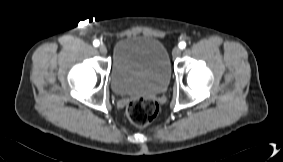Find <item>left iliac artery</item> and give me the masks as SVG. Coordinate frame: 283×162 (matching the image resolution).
<instances>
[{
    "label": "left iliac artery",
    "instance_id": "left-iliac-artery-1",
    "mask_svg": "<svg viewBox=\"0 0 283 162\" xmlns=\"http://www.w3.org/2000/svg\"><path fill=\"white\" fill-rule=\"evenodd\" d=\"M186 47V43L184 41L179 43V48L184 49Z\"/></svg>",
    "mask_w": 283,
    "mask_h": 162
}]
</instances>
